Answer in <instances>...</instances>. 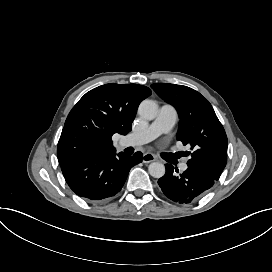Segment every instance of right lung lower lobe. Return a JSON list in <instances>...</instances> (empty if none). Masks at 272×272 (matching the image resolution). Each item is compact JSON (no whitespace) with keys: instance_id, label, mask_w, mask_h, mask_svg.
Masks as SVG:
<instances>
[{"instance_id":"obj_1","label":"right lung lower lobe","mask_w":272,"mask_h":272,"mask_svg":"<svg viewBox=\"0 0 272 272\" xmlns=\"http://www.w3.org/2000/svg\"><path fill=\"white\" fill-rule=\"evenodd\" d=\"M142 161V154L120 152L95 154L60 165L72 191L87 201H104L123 187L130 169Z\"/></svg>"}]
</instances>
